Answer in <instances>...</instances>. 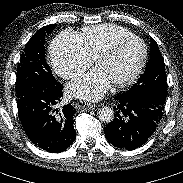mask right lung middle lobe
Returning a JSON list of instances; mask_svg holds the SVG:
<instances>
[{
	"label": "right lung middle lobe",
	"instance_id": "obj_1",
	"mask_svg": "<svg viewBox=\"0 0 183 183\" xmlns=\"http://www.w3.org/2000/svg\"><path fill=\"white\" fill-rule=\"evenodd\" d=\"M54 25L39 29L28 41L21 54L16 75V96L24 95L29 88H49L57 81L45 59L44 40L52 33Z\"/></svg>",
	"mask_w": 183,
	"mask_h": 183
}]
</instances>
